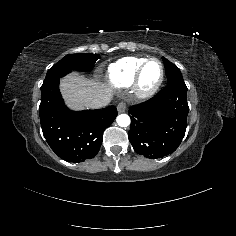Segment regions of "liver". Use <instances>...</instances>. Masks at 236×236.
<instances>
[{
	"label": "liver",
	"mask_w": 236,
	"mask_h": 236,
	"mask_svg": "<svg viewBox=\"0 0 236 236\" xmlns=\"http://www.w3.org/2000/svg\"><path fill=\"white\" fill-rule=\"evenodd\" d=\"M60 91L65 103L74 110L84 109L86 104L95 98L112 94L106 86L94 80L86 79L83 75L72 73L60 80Z\"/></svg>",
	"instance_id": "obj_1"
}]
</instances>
